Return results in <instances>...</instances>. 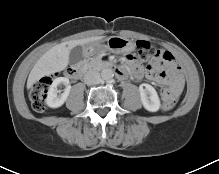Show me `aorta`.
<instances>
[{"mask_svg": "<svg viewBox=\"0 0 219 174\" xmlns=\"http://www.w3.org/2000/svg\"><path fill=\"white\" fill-rule=\"evenodd\" d=\"M114 76L112 69L106 68L101 71V77L103 80H110Z\"/></svg>", "mask_w": 219, "mask_h": 174, "instance_id": "aorta-1", "label": "aorta"}]
</instances>
